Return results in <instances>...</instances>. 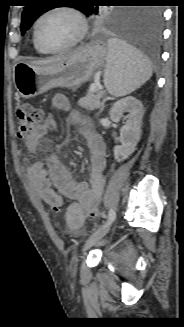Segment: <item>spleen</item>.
Wrapping results in <instances>:
<instances>
[{
	"label": "spleen",
	"mask_w": 184,
	"mask_h": 327,
	"mask_svg": "<svg viewBox=\"0 0 184 327\" xmlns=\"http://www.w3.org/2000/svg\"><path fill=\"white\" fill-rule=\"evenodd\" d=\"M152 76L148 59L136 48L117 38L108 40L104 85L115 97L128 95Z\"/></svg>",
	"instance_id": "spleen-1"
}]
</instances>
